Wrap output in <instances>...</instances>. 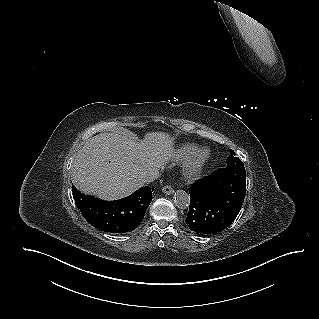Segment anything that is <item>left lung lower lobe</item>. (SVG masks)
Masks as SVG:
<instances>
[{
	"label": "left lung lower lobe",
	"instance_id": "obj_1",
	"mask_svg": "<svg viewBox=\"0 0 319 319\" xmlns=\"http://www.w3.org/2000/svg\"><path fill=\"white\" fill-rule=\"evenodd\" d=\"M187 226L196 233L226 229L237 217L246 194L245 169L219 168L189 189Z\"/></svg>",
	"mask_w": 319,
	"mask_h": 319
}]
</instances>
